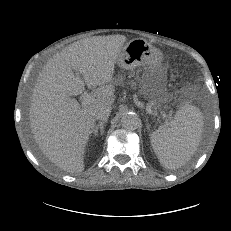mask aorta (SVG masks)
Instances as JSON below:
<instances>
[{"label":"aorta","instance_id":"aorta-1","mask_svg":"<svg viewBox=\"0 0 231 231\" xmlns=\"http://www.w3.org/2000/svg\"><path fill=\"white\" fill-rule=\"evenodd\" d=\"M121 124L127 130H135L139 127L140 119L134 113H126L121 118Z\"/></svg>","mask_w":231,"mask_h":231}]
</instances>
